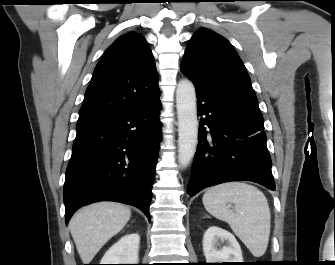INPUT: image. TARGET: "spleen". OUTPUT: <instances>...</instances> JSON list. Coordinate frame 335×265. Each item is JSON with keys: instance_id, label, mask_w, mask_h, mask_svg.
I'll use <instances>...</instances> for the list:
<instances>
[{"instance_id": "1", "label": "spleen", "mask_w": 335, "mask_h": 265, "mask_svg": "<svg viewBox=\"0 0 335 265\" xmlns=\"http://www.w3.org/2000/svg\"><path fill=\"white\" fill-rule=\"evenodd\" d=\"M202 201L212 216L230 225L253 256L264 255L271 214L263 192L244 182H228L209 188ZM227 204H233V210L228 209Z\"/></svg>"}]
</instances>
